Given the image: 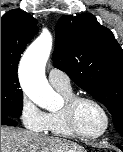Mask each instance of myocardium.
Here are the masks:
<instances>
[{"label":"myocardium","instance_id":"1","mask_svg":"<svg viewBox=\"0 0 123 152\" xmlns=\"http://www.w3.org/2000/svg\"><path fill=\"white\" fill-rule=\"evenodd\" d=\"M82 102L92 103L102 112L104 116L105 124H104L103 129L100 132L96 134H87L80 130L77 123L76 113H77L78 105ZM63 112L65 115V119H66L68 127L73 132V134L77 137H80L83 139H97L103 136L109 129V126H110L109 114L106 108L104 107V105L93 97L86 96V95H73L70 98L65 100Z\"/></svg>","mask_w":123,"mask_h":152}]
</instances>
